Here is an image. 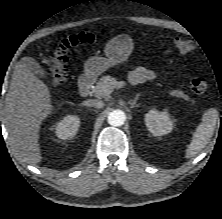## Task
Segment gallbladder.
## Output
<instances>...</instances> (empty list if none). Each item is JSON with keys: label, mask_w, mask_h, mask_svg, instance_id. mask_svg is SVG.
<instances>
[{"label": "gallbladder", "mask_w": 222, "mask_h": 219, "mask_svg": "<svg viewBox=\"0 0 222 219\" xmlns=\"http://www.w3.org/2000/svg\"><path fill=\"white\" fill-rule=\"evenodd\" d=\"M26 64L31 69V71L36 74L41 79H47L46 73L44 69L39 65L37 61H35L33 58H28L26 60Z\"/></svg>", "instance_id": "bac80fb5"}]
</instances>
